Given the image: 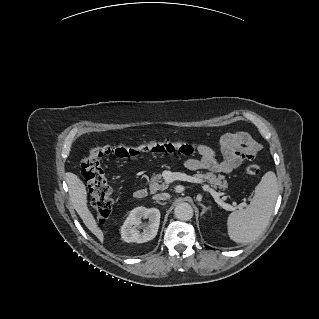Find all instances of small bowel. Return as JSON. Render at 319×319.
Returning a JSON list of instances; mask_svg holds the SVG:
<instances>
[{
	"instance_id": "c3829d8e",
	"label": "small bowel",
	"mask_w": 319,
	"mask_h": 319,
	"mask_svg": "<svg viewBox=\"0 0 319 319\" xmlns=\"http://www.w3.org/2000/svg\"><path fill=\"white\" fill-rule=\"evenodd\" d=\"M223 160H218L215 151L207 146L198 147V158H186L184 166L192 171L209 170L216 173H231L245 160L252 159L258 145L247 133H230L220 140Z\"/></svg>"
}]
</instances>
